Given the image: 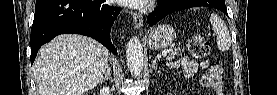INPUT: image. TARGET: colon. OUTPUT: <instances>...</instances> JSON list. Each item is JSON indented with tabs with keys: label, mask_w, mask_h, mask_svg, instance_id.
Returning <instances> with one entry per match:
<instances>
[{
	"label": "colon",
	"mask_w": 277,
	"mask_h": 95,
	"mask_svg": "<svg viewBox=\"0 0 277 95\" xmlns=\"http://www.w3.org/2000/svg\"><path fill=\"white\" fill-rule=\"evenodd\" d=\"M188 51L195 59H202L210 51V42L203 34L196 33L188 41Z\"/></svg>",
	"instance_id": "5ec220e1"
}]
</instances>
